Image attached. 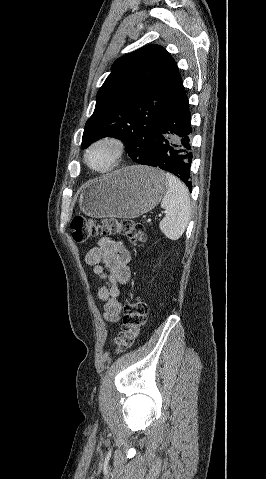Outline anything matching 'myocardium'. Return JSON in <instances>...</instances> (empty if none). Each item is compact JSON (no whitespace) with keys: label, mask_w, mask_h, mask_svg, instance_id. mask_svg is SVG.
<instances>
[{"label":"myocardium","mask_w":266,"mask_h":479,"mask_svg":"<svg viewBox=\"0 0 266 479\" xmlns=\"http://www.w3.org/2000/svg\"><path fill=\"white\" fill-rule=\"evenodd\" d=\"M100 147H108L112 151V158L110 164L105 168H97L91 164L90 156L94 150ZM125 151L124 142L114 136H104L93 141L85 151L84 159L86 165L94 172L99 174H106L113 171L122 159Z\"/></svg>","instance_id":"f54148a6"}]
</instances>
